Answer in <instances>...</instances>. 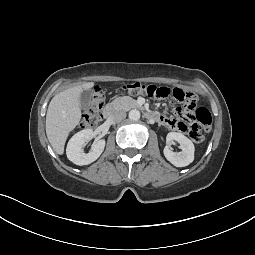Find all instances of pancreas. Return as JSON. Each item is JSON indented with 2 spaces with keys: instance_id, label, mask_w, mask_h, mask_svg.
<instances>
[{
  "instance_id": "cf45deb5",
  "label": "pancreas",
  "mask_w": 255,
  "mask_h": 255,
  "mask_svg": "<svg viewBox=\"0 0 255 255\" xmlns=\"http://www.w3.org/2000/svg\"><path fill=\"white\" fill-rule=\"evenodd\" d=\"M111 105L116 109L129 110L131 108H137L139 105L137 101L129 96H123L114 99Z\"/></svg>"
}]
</instances>
